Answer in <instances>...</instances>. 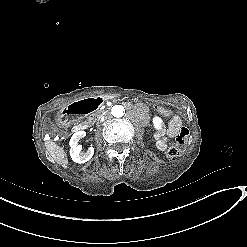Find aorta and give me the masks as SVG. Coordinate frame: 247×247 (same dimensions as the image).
I'll return each mask as SVG.
<instances>
[{
  "label": "aorta",
  "instance_id": "obj_1",
  "mask_svg": "<svg viewBox=\"0 0 247 247\" xmlns=\"http://www.w3.org/2000/svg\"><path fill=\"white\" fill-rule=\"evenodd\" d=\"M111 114L116 118L122 117L125 114V109L121 105H115L111 109Z\"/></svg>",
  "mask_w": 247,
  "mask_h": 247
}]
</instances>
